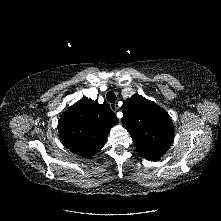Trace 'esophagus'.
I'll return each instance as SVG.
<instances>
[{"mask_svg": "<svg viewBox=\"0 0 221 221\" xmlns=\"http://www.w3.org/2000/svg\"><path fill=\"white\" fill-rule=\"evenodd\" d=\"M109 106L113 112H116L119 109L116 103H110Z\"/></svg>", "mask_w": 221, "mask_h": 221, "instance_id": "esophagus-1", "label": "esophagus"}]
</instances>
